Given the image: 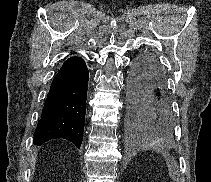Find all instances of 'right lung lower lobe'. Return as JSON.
I'll use <instances>...</instances> for the list:
<instances>
[{"label": "right lung lower lobe", "instance_id": "obj_1", "mask_svg": "<svg viewBox=\"0 0 211 182\" xmlns=\"http://www.w3.org/2000/svg\"><path fill=\"white\" fill-rule=\"evenodd\" d=\"M89 72L80 57L69 58L52 81L37 125L34 144L64 138L80 148L85 124Z\"/></svg>", "mask_w": 211, "mask_h": 182}]
</instances>
